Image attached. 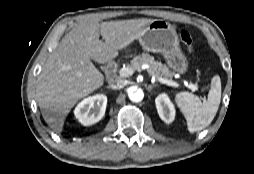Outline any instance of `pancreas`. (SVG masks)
<instances>
[{
  "label": "pancreas",
  "instance_id": "1",
  "mask_svg": "<svg viewBox=\"0 0 254 174\" xmlns=\"http://www.w3.org/2000/svg\"><path fill=\"white\" fill-rule=\"evenodd\" d=\"M148 64L150 69L147 70L149 76H154L156 79L162 77L166 79H172L174 73L169 68L154 59L153 56L148 53L137 55L128 65L133 70H140L142 65Z\"/></svg>",
  "mask_w": 254,
  "mask_h": 174
}]
</instances>
